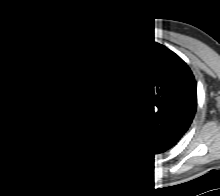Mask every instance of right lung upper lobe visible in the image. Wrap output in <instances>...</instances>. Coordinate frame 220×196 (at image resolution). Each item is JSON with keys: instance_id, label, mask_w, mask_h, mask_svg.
<instances>
[{"instance_id": "1", "label": "right lung upper lobe", "mask_w": 220, "mask_h": 196, "mask_svg": "<svg viewBox=\"0 0 220 196\" xmlns=\"http://www.w3.org/2000/svg\"><path fill=\"white\" fill-rule=\"evenodd\" d=\"M102 54L90 41L76 43L50 65L41 98L52 134L67 143H81L90 134L91 120L83 108L84 80Z\"/></svg>"}]
</instances>
